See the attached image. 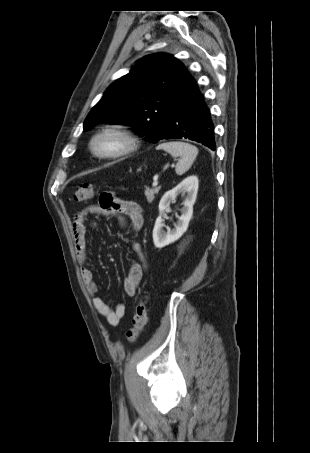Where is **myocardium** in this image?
<instances>
[{
    "mask_svg": "<svg viewBox=\"0 0 310 453\" xmlns=\"http://www.w3.org/2000/svg\"><path fill=\"white\" fill-rule=\"evenodd\" d=\"M113 138L117 145L109 151H101L97 142L103 138ZM89 150L99 159H115L133 153L139 147V138L123 123H110L96 131L89 140Z\"/></svg>",
    "mask_w": 310,
    "mask_h": 453,
    "instance_id": "f54148a6",
    "label": "myocardium"
}]
</instances>
